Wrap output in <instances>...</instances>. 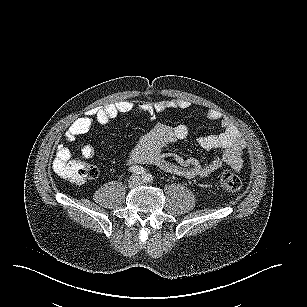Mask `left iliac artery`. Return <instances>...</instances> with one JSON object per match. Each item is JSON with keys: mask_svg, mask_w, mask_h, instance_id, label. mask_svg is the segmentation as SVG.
Here are the masks:
<instances>
[{"mask_svg": "<svg viewBox=\"0 0 307 307\" xmlns=\"http://www.w3.org/2000/svg\"><path fill=\"white\" fill-rule=\"evenodd\" d=\"M142 179H143L144 182H150L152 180V177H151V175H146Z\"/></svg>", "mask_w": 307, "mask_h": 307, "instance_id": "44dca946", "label": "left iliac artery"}]
</instances>
